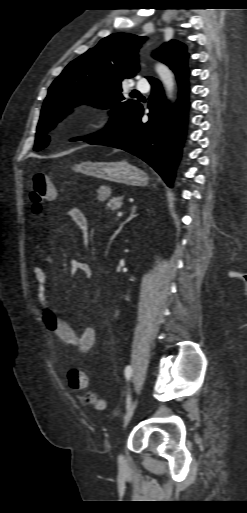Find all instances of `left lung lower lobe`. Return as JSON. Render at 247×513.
Masks as SVG:
<instances>
[{
    "label": "left lung lower lobe",
    "instance_id": "obj_1",
    "mask_svg": "<svg viewBox=\"0 0 247 513\" xmlns=\"http://www.w3.org/2000/svg\"><path fill=\"white\" fill-rule=\"evenodd\" d=\"M179 98L175 107L163 100L160 82L152 85L149 98V121L143 123L144 109L139 103L121 122L103 134L89 140L90 144L125 150L154 168L168 186H172L175 168L184 140L188 109L187 61L175 71Z\"/></svg>",
    "mask_w": 247,
    "mask_h": 513
}]
</instances>
